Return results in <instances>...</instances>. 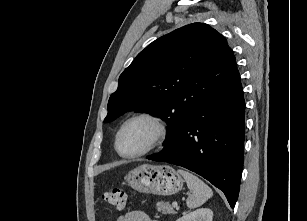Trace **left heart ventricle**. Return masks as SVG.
<instances>
[{"instance_id":"1","label":"left heart ventricle","mask_w":307,"mask_h":221,"mask_svg":"<svg viewBox=\"0 0 307 221\" xmlns=\"http://www.w3.org/2000/svg\"><path fill=\"white\" fill-rule=\"evenodd\" d=\"M155 134L153 125L146 120L130 123L123 131L119 147L125 154L138 153L144 150Z\"/></svg>"}]
</instances>
